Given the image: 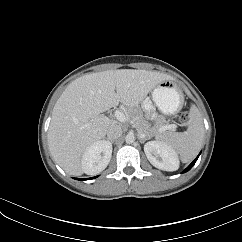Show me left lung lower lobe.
I'll return each instance as SVG.
<instances>
[{
  "label": "left lung lower lobe",
  "instance_id": "1",
  "mask_svg": "<svg viewBox=\"0 0 242 242\" xmlns=\"http://www.w3.org/2000/svg\"><path fill=\"white\" fill-rule=\"evenodd\" d=\"M200 155V154H199ZM199 155L197 156V158L183 171V173L184 172H187V171H189L192 167H193V165L196 163V161H197V159H198V157H199Z\"/></svg>",
  "mask_w": 242,
  "mask_h": 242
}]
</instances>
